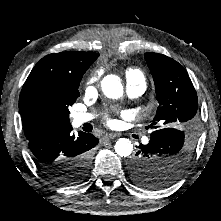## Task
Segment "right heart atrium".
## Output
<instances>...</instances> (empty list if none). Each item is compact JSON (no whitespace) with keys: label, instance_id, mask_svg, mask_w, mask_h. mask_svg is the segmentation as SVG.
<instances>
[{"label":"right heart atrium","instance_id":"d8ad5b80","mask_svg":"<svg viewBox=\"0 0 221 221\" xmlns=\"http://www.w3.org/2000/svg\"><path fill=\"white\" fill-rule=\"evenodd\" d=\"M99 77L96 74H92L86 81V91L90 92L98 86Z\"/></svg>","mask_w":221,"mask_h":221}]
</instances>
